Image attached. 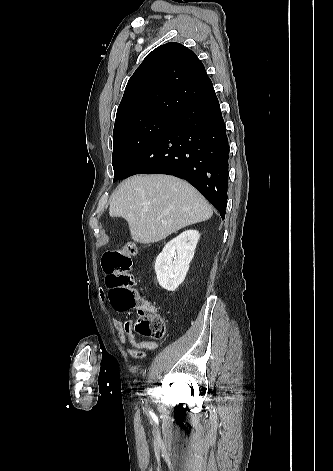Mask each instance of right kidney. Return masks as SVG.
I'll list each match as a JSON object with an SVG mask.
<instances>
[{"label": "right kidney", "mask_w": 333, "mask_h": 471, "mask_svg": "<svg viewBox=\"0 0 333 471\" xmlns=\"http://www.w3.org/2000/svg\"><path fill=\"white\" fill-rule=\"evenodd\" d=\"M199 237L197 230H187L169 241L157 256L155 272L162 288L174 291L184 281Z\"/></svg>", "instance_id": "1"}]
</instances>
